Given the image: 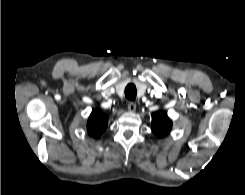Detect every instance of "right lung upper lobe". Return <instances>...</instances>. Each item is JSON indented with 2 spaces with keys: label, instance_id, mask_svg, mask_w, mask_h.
<instances>
[{
  "label": "right lung upper lobe",
  "instance_id": "1",
  "mask_svg": "<svg viewBox=\"0 0 245 195\" xmlns=\"http://www.w3.org/2000/svg\"><path fill=\"white\" fill-rule=\"evenodd\" d=\"M108 116L99 110H93L87 123V130L93 137L100 136L107 128Z\"/></svg>",
  "mask_w": 245,
  "mask_h": 195
}]
</instances>
